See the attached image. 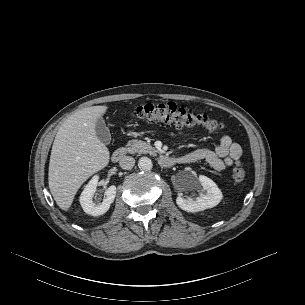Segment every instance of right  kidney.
Listing matches in <instances>:
<instances>
[{"label":"right kidney","instance_id":"1","mask_svg":"<svg viewBox=\"0 0 305 305\" xmlns=\"http://www.w3.org/2000/svg\"><path fill=\"white\" fill-rule=\"evenodd\" d=\"M98 179V176H94L86 185L80 196V204L84 212L92 216H100L106 213L116 196V187L112 185L105 191L106 197L103 202L96 204L93 201V197L97 190Z\"/></svg>","mask_w":305,"mask_h":305}]
</instances>
